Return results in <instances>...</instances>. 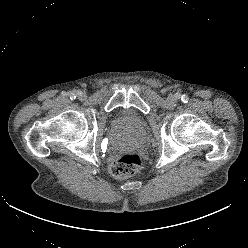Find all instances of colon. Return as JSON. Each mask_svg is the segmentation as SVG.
<instances>
[{
  "mask_svg": "<svg viewBox=\"0 0 248 248\" xmlns=\"http://www.w3.org/2000/svg\"><path fill=\"white\" fill-rule=\"evenodd\" d=\"M144 167L138 154H127L116 159L110 166L111 174L116 178H128L139 175Z\"/></svg>",
  "mask_w": 248,
  "mask_h": 248,
  "instance_id": "5ec220e1",
  "label": "colon"
}]
</instances>
